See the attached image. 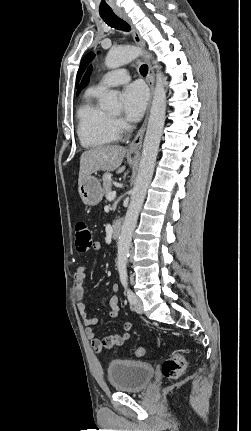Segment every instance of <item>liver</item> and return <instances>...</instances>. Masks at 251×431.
Here are the masks:
<instances>
[{
    "instance_id": "6515ba94",
    "label": "liver",
    "mask_w": 251,
    "mask_h": 431,
    "mask_svg": "<svg viewBox=\"0 0 251 431\" xmlns=\"http://www.w3.org/2000/svg\"><path fill=\"white\" fill-rule=\"evenodd\" d=\"M126 154V148L120 145H105L89 149L82 153L78 185H81L92 173L97 171H114L119 168Z\"/></svg>"
}]
</instances>
